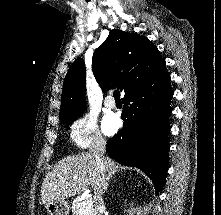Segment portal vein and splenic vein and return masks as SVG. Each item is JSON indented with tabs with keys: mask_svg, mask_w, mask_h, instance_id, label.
Here are the masks:
<instances>
[{
	"mask_svg": "<svg viewBox=\"0 0 221 215\" xmlns=\"http://www.w3.org/2000/svg\"><path fill=\"white\" fill-rule=\"evenodd\" d=\"M91 199H92V195L91 194H88L84 200V202L88 203V202H91Z\"/></svg>",
	"mask_w": 221,
	"mask_h": 215,
	"instance_id": "1",
	"label": "portal vein and splenic vein"
}]
</instances>
